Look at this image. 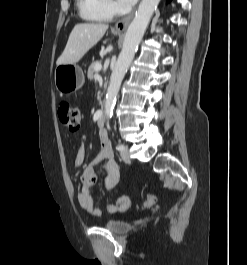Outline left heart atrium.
<instances>
[{"label":"left heart atrium","instance_id":"obj_1","mask_svg":"<svg viewBox=\"0 0 247 265\" xmlns=\"http://www.w3.org/2000/svg\"><path fill=\"white\" fill-rule=\"evenodd\" d=\"M135 1L136 0H118L119 4L124 7L132 5Z\"/></svg>","mask_w":247,"mask_h":265}]
</instances>
